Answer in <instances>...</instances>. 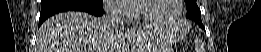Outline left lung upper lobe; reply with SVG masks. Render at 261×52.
Wrapping results in <instances>:
<instances>
[{"label":"left lung upper lobe","instance_id":"5c2ea615","mask_svg":"<svg viewBox=\"0 0 261 52\" xmlns=\"http://www.w3.org/2000/svg\"><path fill=\"white\" fill-rule=\"evenodd\" d=\"M187 7L186 17L197 22L200 27L203 26L201 21V11L196 4V0H185Z\"/></svg>","mask_w":261,"mask_h":52}]
</instances>
